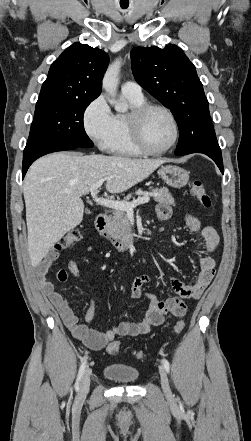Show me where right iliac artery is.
<instances>
[{
	"label": "right iliac artery",
	"mask_w": 251,
	"mask_h": 441,
	"mask_svg": "<svg viewBox=\"0 0 251 441\" xmlns=\"http://www.w3.org/2000/svg\"><path fill=\"white\" fill-rule=\"evenodd\" d=\"M85 368H86V359L82 362V364L79 368V371H78V375H77V379H76V383H75L76 390L79 389V383H80V380L84 374Z\"/></svg>",
	"instance_id": "obj_1"
}]
</instances>
